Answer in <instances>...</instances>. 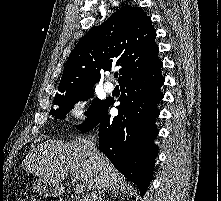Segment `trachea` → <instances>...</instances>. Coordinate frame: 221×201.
I'll return each mask as SVG.
<instances>
[{"label":"trachea","instance_id":"trachea-1","mask_svg":"<svg viewBox=\"0 0 221 201\" xmlns=\"http://www.w3.org/2000/svg\"><path fill=\"white\" fill-rule=\"evenodd\" d=\"M114 77L117 78L118 77V73H114Z\"/></svg>","mask_w":221,"mask_h":201}]
</instances>
